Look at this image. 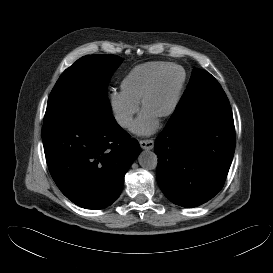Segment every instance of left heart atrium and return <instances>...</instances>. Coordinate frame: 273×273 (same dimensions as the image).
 Instances as JSON below:
<instances>
[{"label":"left heart atrium","instance_id":"1","mask_svg":"<svg viewBox=\"0 0 273 273\" xmlns=\"http://www.w3.org/2000/svg\"><path fill=\"white\" fill-rule=\"evenodd\" d=\"M156 126H157L156 118L152 114L144 111L141 116V119L136 125V128L142 134L148 135L155 130Z\"/></svg>","mask_w":273,"mask_h":273}]
</instances>
